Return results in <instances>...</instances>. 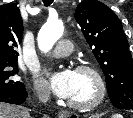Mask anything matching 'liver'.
<instances>
[{
	"instance_id": "1",
	"label": "liver",
	"mask_w": 133,
	"mask_h": 118,
	"mask_svg": "<svg viewBox=\"0 0 133 118\" xmlns=\"http://www.w3.org/2000/svg\"><path fill=\"white\" fill-rule=\"evenodd\" d=\"M0 118H30V114L27 108L0 102Z\"/></svg>"
}]
</instances>
